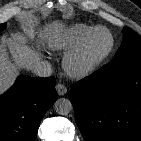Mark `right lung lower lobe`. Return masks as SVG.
I'll return each mask as SVG.
<instances>
[{
	"mask_svg": "<svg viewBox=\"0 0 141 141\" xmlns=\"http://www.w3.org/2000/svg\"><path fill=\"white\" fill-rule=\"evenodd\" d=\"M54 77H18L0 96V141H35L44 114L57 99Z\"/></svg>",
	"mask_w": 141,
	"mask_h": 141,
	"instance_id": "1",
	"label": "right lung lower lobe"
}]
</instances>
